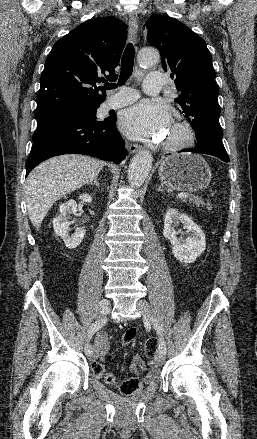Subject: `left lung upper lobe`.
<instances>
[{"label": "left lung upper lobe", "instance_id": "1", "mask_svg": "<svg viewBox=\"0 0 257 439\" xmlns=\"http://www.w3.org/2000/svg\"><path fill=\"white\" fill-rule=\"evenodd\" d=\"M147 41L161 54L164 71L171 72L180 93L175 102L195 130L196 147L225 150L212 57L206 42L177 19L160 14L146 22Z\"/></svg>", "mask_w": 257, "mask_h": 439}]
</instances>
